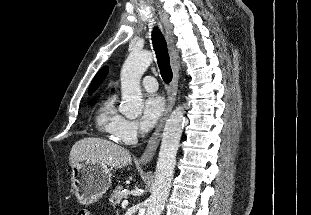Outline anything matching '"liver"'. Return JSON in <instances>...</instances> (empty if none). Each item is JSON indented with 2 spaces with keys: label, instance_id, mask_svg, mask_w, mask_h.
I'll use <instances>...</instances> for the list:
<instances>
[{
  "label": "liver",
  "instance_id": "6515ba94",
  "mask_svg": "<svg viewBox=\"0 0 311 215\" xmlns=\"http://www.w3.org/2000/svg\"><path fill=\"white\" fill-rule=\"evenodd\" d=\"M102 163L112 168H123L132 162L129 150L105 139L88 137L77 141L70 151L69 163Z\"/></svg>",
  "mask_w": 311,
  "mask_h": 215
}]
</instances>
